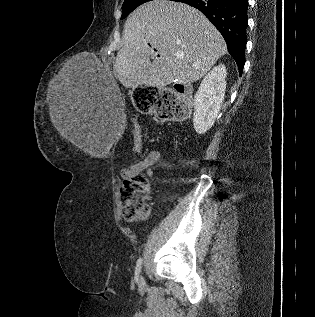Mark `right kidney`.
Listing matches in <instances>:
<instances>
[{
	"mask_svg": "<svg viewBox=\"0 0 315 317\" xmlns=\"http://www.w3.org/2000/svg\"><path fill=\"white\" fill-rule=\"evenodd\" d=\"M226 67L215 66L202 80L194 97V129L198 134L206 133L214 124L225 96Z\"/></svg>",
	"mask_w": 315,
	"mask_h": 317,
	"instance_id": "1",
	"label": "right kidney"
}]
</instances>
